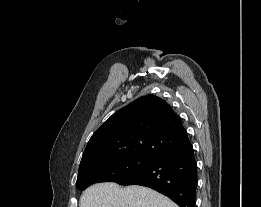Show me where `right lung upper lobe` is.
I'll use <instances>...</instances> for the list:
<instances>
[{
	"instance_id": "obj_1",
	"label": "right lung upper lobe",
	"mask_w": 261,
	"mask_h": 207,
	"mask_svg": "<svg viewBox=\"0 0 261 207\" xmlns=\"http://www.w3.org/2000/svg\"><path fill=\"white\" fill-rule=\"evenodd\" d=\"M189 143L172 107L157 96L146 95L114 113L92 135L80 167L131 155L157 158Z\"/></svg>"
}]
</instances>
